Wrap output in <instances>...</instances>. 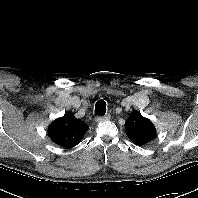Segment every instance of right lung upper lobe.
Here are the masks:
<instances>
[{"label": "right lung upper lobe", "instance_id": "1", "mask_svg": "<svg viewBox=\"0 0 198 198\" xmlns=\"http://www.w3.org/2000/svg\"><path fill=\"white\" fill-rule=\"evenodd\" d=\"M88 126L80 119L66 112L63 117L57 118L48 128V134L56 144L71 148L82 140Z\"/></svg>", "mask_w": 198, "mask_h": 198}]
</instances>
